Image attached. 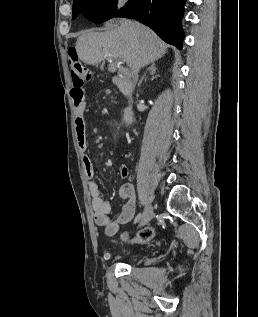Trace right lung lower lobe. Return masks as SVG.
<instances>
[{"mask_svg": "<svg viewBox=\"0 0 258 317\" xmlns=\"http://www.w3.org/2000/svg\"><path fill=\"white\" fill-rule=\"evenodd\" d=\"M186 0H130L116 17L136 18L149 26L165 42L182 49L184 32L181 19Z\"/></svg>", "mask_w": 258, "mask_h": 317, "instance_id": "98d812e1", "label": "right lung lower lobe"}]
</instances>
